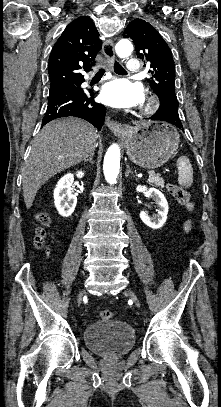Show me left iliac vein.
<instances>
[{
  "instance_id": "4c4485c4",
  "label": "left iliac vein",
  "mask_w": 221,
  "mask_h": 407,
  "mask_svg": "<svg viewBox=\"0 0 221 407\" xmlns=\"http://www.w3.org/2000/svg\"><path fill=\"white\" fill-rule=\"evenodd\" d=\"M127 292H128V294L130 295V297L134 300V302L136 303V305H137L138 307H140V302H139V300H138L137 295H136L132 290H130V289H127Z\"/></svg>"
}]
</instances>
